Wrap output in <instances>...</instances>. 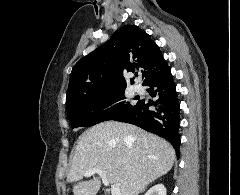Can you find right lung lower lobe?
I'll return each instance as SVG.
<instances>
[{
  "label": "right lung lower lobe",
  "instance_id": "right-lung-lower-lobe-1",
  "mask_svg": "<svg viewBox=\"0 0 240 195\" xmlns=\"http://www.w3.org/2000/svg\"><path fill=\"white\" fill-rule=\"evenodd\" d=\"M147 91L155 101H138L131 110L117 116L114 120L134 124L142 129L164 137L179 155V101L170 69L152 80Z\"/></svg>",
  "mask_w": 240,
  "mask_h": 195
}]
</instances>
